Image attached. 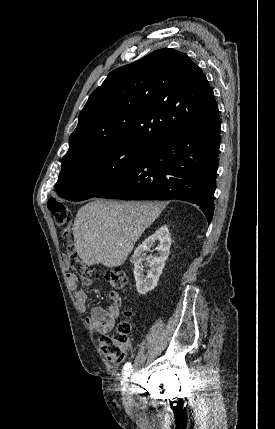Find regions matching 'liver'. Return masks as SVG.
I'll return each mask as SVG.
<instances>
[{
  "label": "liver",
  "mask_w": 275,
  "mask_h": 429,
  "mask_svg": "<svg viewBox=\"0 0 275 429\" xmlns=\"http://www.w3.org/2000/svg\"><path fill=\"white\" fill-rule=\"evenodd\" d=\"M162 202H118L97 199L76 214L75 249L88 266L122 265L136 241L160 215Z\"/></svg>",
  "instance_id": "1"
}]
</instances>
